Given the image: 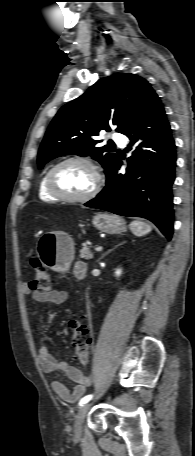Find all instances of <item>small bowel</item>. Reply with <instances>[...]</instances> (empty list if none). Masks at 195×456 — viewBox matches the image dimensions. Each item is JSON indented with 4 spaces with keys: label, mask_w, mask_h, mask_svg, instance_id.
Returning a JSON list of instances; mask_svg holds the SVG:
<instances>
[{
    "label": "small bowel",
    "mask_w": 195,
    "mask_h": 456,
    "mask_svg": "<svg viewBox=\"0 0 195 456\" xmlns=\"http://www.w3.org/2000/svg\"><path fill=\"white\" fill-rule=\"evenodd\" d=\"M23 293L26 295H31L32 298L37 302H52L55 304H62L68 298L66 291L52 290L50 292H41L38 290H33L29 285L23 286ZM39 358L43 371L47 376L52 378V390L62 400L70 403L75 402L86 392L87 387L91 384V378L89 376H86L78 368L68 364L67 362L58 360L56 357L50 354L47 347H40ZM56 371L64 372L66 376L75 383L72 391H70L62 381L57 378H53V375Z\"/></svg>",
    "instance_id": "c3829d8e"
}]
</instances>
